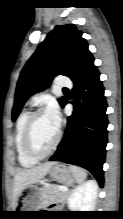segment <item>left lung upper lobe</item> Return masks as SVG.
<instances>
[{
	"instance_id": "obj_1",
	"label": "left lung upper lobe",
	"mask_w": 123,
	"mask_h": 219,
	"mask_svg": "<svg viewBox=\"0 0 123 219\" xmlns=\"http://www.w3.org/2000/svg\"><path fill=\"white\" fill-rule=\"evenodd\" d=\"M90 58L92 55L88 44L75 25L56 26L38 46L20 74L12 110L13 121L31 95L46 89L59 74L72 78ZM65 99H58L61 106Z\"/></svg>"
}]
</instances>
